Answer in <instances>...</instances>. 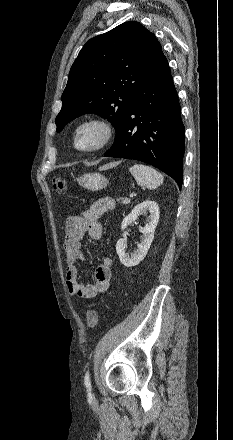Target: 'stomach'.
<instances>
[{
    "label": "stomach",
    "instance_id": "0dacf381",
    "mask_svg": "<svg viewBox=\"0 0 233 440\" xmlns=\"http://www.w3.org/2000/svg\"><path fill=\"white\" fill-rule=\"evenodd\" d=\"M78 183L89 191H99L107 187L109 180L100 173H85L80 176Z\"/></svg>",
    "mask_w": 233,
    "mask_h": 440
}]
</instances>
